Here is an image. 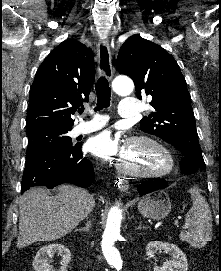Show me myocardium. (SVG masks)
I'll list each match as a JSON object with an SVG mask.
<instances>
[{"label":"myocardium","instance_id":"1","mask_svg":"<svg viewBox=\"0 0 221 271\" xmlns=\"http://www.w3.org/2000/svg\"><path fill=\"white\" fill-rule=\"evenodd\" d=\"M157 140H162L151 134L130 133L127 144L130 145L129 150L133 147L135 150H141L143 159L147 164H158L151 167H145L144 170H138L137 167H129V161H122L120 158H113L115 170L124 172L125 175H137L139 178L163 177L171 174L175 170H171L172 162L168 154L171 150H162V145ZM143 150V151H142ZM142 167V168H143Z\"/></svg>","mask_w":221,"mask_h":271}]
</instances>
